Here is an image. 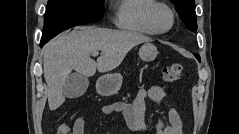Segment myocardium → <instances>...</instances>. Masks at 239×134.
<instances>
[{"label":"myocardium","mask_w":239,"mask_h":134,"mask_svg":"<svg viewBox=\"0 0 239 134\" xmlns=\"http://www.w3.org/2000/svg\"><path fill=\"white\" fill-rule=\"evenodd\" d=\"M160 10H164L170 15V24L167 28H160L157 24V14ZM147 21L157 34H165L173 28L175 24V14L166 3L155 2L148 9Z\"/></svg>","instance_id":"1"}]
</instances>
